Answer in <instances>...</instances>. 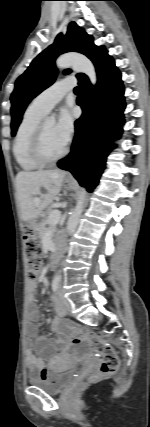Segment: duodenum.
<instances>
[{
    "mask_svg": "<svg viewBox=\"0 0 150 427\" xmlns=\"http://www.w3.org/2000/svg\"><path fill=\"white\" fill-rule=\"evenodd\" d=\"M56 262H57V255L54 253V254L50 257V261H49L50 267H51V268H54V267H55V265H56Z\"/></svg>",
    "mask_w": 150,
    "mask_h": 427,
    "instance_id": "obj_1",
    "label": "duodenum"
}]
</instances>
